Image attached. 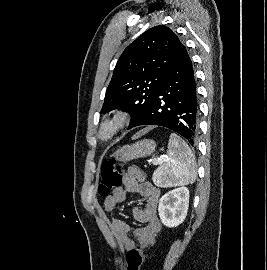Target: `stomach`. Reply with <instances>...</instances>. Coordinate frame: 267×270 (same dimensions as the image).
<instances>
[{
  "label": "stomach",
  "instance_id": "stomach-1",
  "mask_svg": "<svg viewBox=\"0 0 267 270\" xmlns=\"http://www.w3.org/2000/svg\"><path fill=\"white\" fill-rule=\"evenodd\" d=\"M155 148L156 143L154 140L144 139L119 148L114 153V157L118 161L126 162L136 158L147 157L155 151Z\"/></svg>",
  "mask_w": 267,
  "mask_h": 270
}]
</instances>
